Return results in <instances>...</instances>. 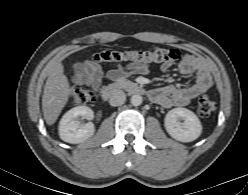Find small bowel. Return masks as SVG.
I'll return each mask as SVG.
<instances>
[{
	"mask_svg": "<svg viewBox=\"0 0 248 195\" xmlns=\"http://www.w3.org/2000/svg\"><path fill=\"white\" fill-rule=\"evenodd\" d=\"M170 67V61L163 63L161 66L163 71H168ZM178 68L183 75L195 74L196 80L192 85L186 87L168 85L153 89L151 98L164 108L186 106L212 86L209 69L201 59L193 55H186L179 62ZM148 71L147 64L129 63L109 70L106 78L116 80L130 73L146 74ZM102 78L103 72L101 68L91 61H86L76 67L74 80L78 84H88L98 88L101 85Z\"/></svg>",
	"mask_w": 248,
	"mask_h": 195,
	"instance_id": "1",
	"label": "small bowel"
}]
</instances>
